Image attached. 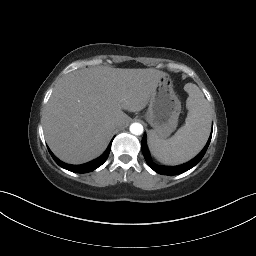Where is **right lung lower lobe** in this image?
<instances>
[{
	"label": "right lung lower lobe",
	"mask_w": 256,
	"mask_h": 256,
	"mask_svg": "<svg viewBox=\"0 0 256 256\" xmlns=\"http://www.w3.org/2000/svg\"><path fill=\"white\" fill-rule=\"evenodd\" d=\"M49 150V153L51 154L52 158L54 159V161L59 165L61 166L62 168L64 169H67L69 171H72V172H76V173H88L90 171H93L95 170L96 168H98L99 166H101L105 161L106 159L108 158L109 156V153H110V150H111V143L109 144L107 150L97 159L91 161V162H88L86 164H83V165H69V164H66L62 161H60L51 151L50 149Z\"/></svg>",
	"instance_id": "obj_1"
}]
</instances>
